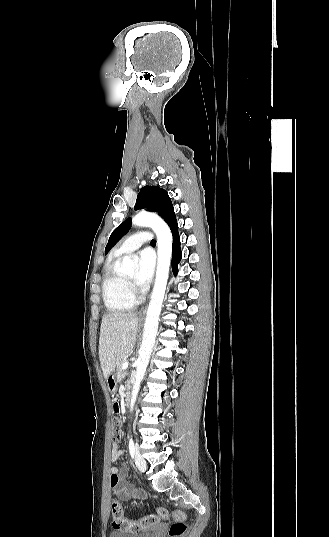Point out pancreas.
<instances>
[{"label":"pancreas","mask_w":329,"mask_h":537,"mask_svg":"<svg viewBox=\"0 0 329 537\" xmlns=\"http://www.w3.org/2000/svg\"><path fill=\"white\" fill-rule=\"evenodd\" d=\"M123 359L120 361V363L117 365L116 369V377L120 381L122 378L125 377V370L122 369Z\"/></svg>","instance_id":"1"}]
</instances>
